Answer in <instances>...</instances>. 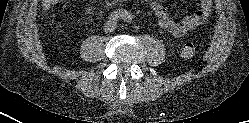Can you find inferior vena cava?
<instances>
[{
    "mask_svg": "<svg viewBox=\"0 0 249 123\" xmlns=\"http://www.w3.org/2000/svg\"><path fill=\"white\" fill-rule=\"evenodd\" d=\"M115 27H116V23L115 22H107L106 25H104V30L106 32L112 31L113 29H115Z\"/></svg>",
    "mask_w": 249,
    "mask_h": 123,
    "instance_id": "602c4592",
    "label": "inferior vena cava"
}]
</instances>
